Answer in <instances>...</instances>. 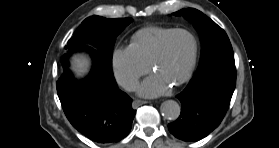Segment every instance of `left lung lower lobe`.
<instances>
[{
	"label": "left lung lower lobe",
	"mask_w": 279,
	"mask_h": 148,
	"mask_svg": "<svg viewBox=\"0 0 279 148\" xmlns=\"http://www.w3.org/2000/svg\"><path fill=\"white\" fill-rule=\"evenodd\" d=\"M236 85L234 58L214 60L201 67L176 97L181 102L179 118L169 131L183 141H198L210 134L224 118Z\"/></svg>",
	"instance_id": "obj_1"
}]
</instances>
